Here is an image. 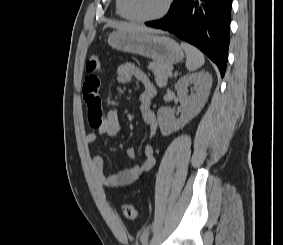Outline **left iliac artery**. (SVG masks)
<instances>
[{
    "label": "left iliac artery",
    "mask_w": 283,
    "mask_h": 245,
    "mask_svg": "<svg viewBox=\"0 0 283 245\" xmlns=\"http://www.w3.org/2000/svg\"><path fill=\"white\" fill-rule=\"evenodd\" d=\"M148 236H149V230H145L140 237V241L144 242L145 240H147Z\"/></svg>",
    "instance_id": "44dca946"
}]
</instances>
